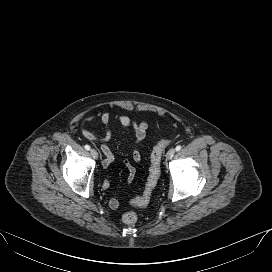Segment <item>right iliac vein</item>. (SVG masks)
Segmentation results:
<instances>
[{
	"label": "right iliac vein",
	"mask_w": 272,
	"mask_h": 272,
	"mask_svg": "<svg viewBox=\"0 0 272 272\" xmlns=\"http://www.w3.org/2000/svg\"><path fill=\"white\" fill-rule=\"evenodd\" d=\"M90 154L94 159L98 158V153H97V151L95 149H91Z\"/></svg>",
	"instance_id": "obj_1"
}]
</instances>
